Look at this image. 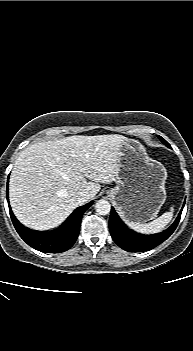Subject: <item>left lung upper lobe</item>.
<instances>
[{"mask_svg":"<svg viewBox=\"0 0 193 351\" xmlns=\"http://www.w3.org/2000/svg\"><path fill=\"white\" fill-rule=\"evenodd\" d=\"M158 137H159V139L161 140L162 143H164L167 147L170 148V145L168 144L167 141H165L161 136H158Z\"/></svg>","mask_w":193,"mask_h":351,"instance_id":"1","label":"left lung upper lobe"}]
</instances>
